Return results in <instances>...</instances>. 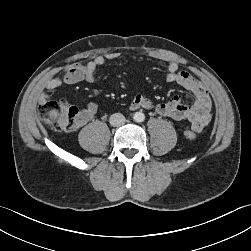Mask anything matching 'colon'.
I'll return each mask as SVG.
<instances>
[{
  "instance_id": "1",
  "label": "colon",
  "mask_w": 251,
  "mask_h": 251,
  "mask_svg": "<svg viewBox=\"0 0 251 251\" xmlns=\"http://www.w3.org/2000/svg\"><path fill=\"white\" fill-rule=\"evenodd\" d=\"M79 109L63 101H46L38 106V116L56 131H73L79 126ZM195 131L186 130L188 139H193Z\"/></svg>"
}]
</instances>
